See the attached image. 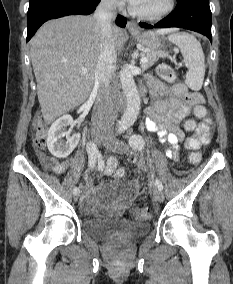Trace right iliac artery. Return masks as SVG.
I'll return each mask as SVG.
<instances>
[{
    "mask_svg": "<svg viewBox=\"0 0 233 284\" xmlns=\"http://www.w3.org/2000/svg\"><path fill=\"white\" fill-rule=\"evenodd\" d=\"M87 152H88V156H89V166L90 167H94L96 162H97V157H101V155L99 154V151L96 147V145L93 142H90L87 144ZM99 168H104V167H99ZM73 193L74 195H77L80 193V190L78 187H75L73 189Z\"/></svg>",
    "mask_w": 233,
    "mask_h": 284,
    "instance_id": "82829eb1",
    "label": "right iliac artery"
}]
</instances>
